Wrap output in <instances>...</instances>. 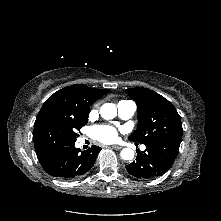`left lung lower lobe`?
<instances>
[{"label":"left lung lower lobe","mask_w":221,"mask_h":221,"mask_svg":"<svg viewBox=\"0 0 221 221\" xmlns=\"http://www.w3.org/2000/svg\"><path fill=\"white\" fill-rule=\"evenodd\" d=\"M145 146V151L136 150V160L127 165L126 170L134 177L149 179L161 176L171 168L180 143L158 140Z\"/></svg>","instance_id":"1"}]
</instances>
